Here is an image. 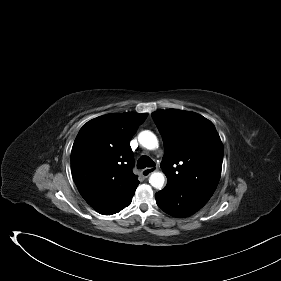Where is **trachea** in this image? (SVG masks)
I'll return each instance as SVG.
<instances>
[{
	"instance_id": "obj_1",
	"label": "trachea",
	"mask_w": 281,
	"mask_h": 281,
	"mask_svg": "<svg viewBox=\"0 0 281 281\" xmlns=\"http://www.w3.org/2000/svg\"><path fill=\"white\" fill-rule=\"evenodd\" d=\"M153 166H155V163L150 157L142 156L138 159L137 162L138 169H144L146 167H153Z\"/></svg>"
}]
</instances>
